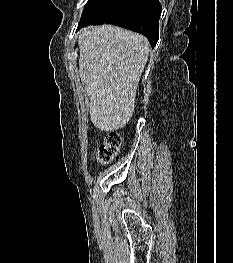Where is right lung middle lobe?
<instances>
[{"instance_id":"1","label":"right lung middle lobe","mask_w":233,"mask_h":263,"mask_svg":"<svg viewBox=\"0 0 233 263\" xmlns=\"http://www.w3.org/2000/svg\"><path fill=\"white\" fill-rule=\"evenodd\" d=\"M127 0H89L85 5L81 21L104 22L112 17Z\"/></svg>"}]
</instances>
